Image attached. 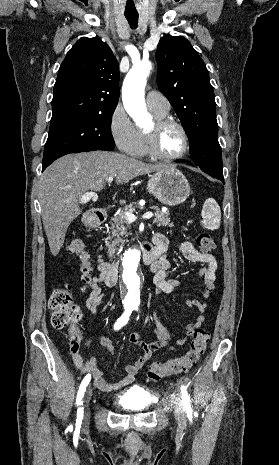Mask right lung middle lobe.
<instances>
[{"label": "right lung middle lobe", "instance_id": "right-lung-middle-lobe-1", "mask_svg": "<svg viewBox=\"0 0 279 465\" xmlns=\"http://www.w3.org/2000/svg\"><path fill=\"white\" fill-rule=\"evenodd\" d=\"M114 110L72 118L50 125L42 165L69 153H79L88 146L114 148L111 117Z\"/></svg>", "mask_w": 279, "mask_h": 465}]
</instances>
